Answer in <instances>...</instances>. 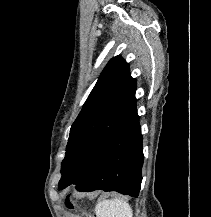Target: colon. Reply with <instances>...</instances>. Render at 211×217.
Wrapping results in <instances>:
<instances>
[{
	"label": "colon",
	"mask_w": 211,
	"mask_h": 217,
	"mask_svg": "<svg viewBox=\"0 0 211 217\" xmlns=\"http://www.w3.org/2000/svg\"><path fill=\"white\" fill-rule=\"evenodd\" d=\"M66 206H67L69 209H73V204H72L69 200H67ZM89 217H91V216H89Z\"/></svg>",
	"instance_id": "1"
}]
</instances>
